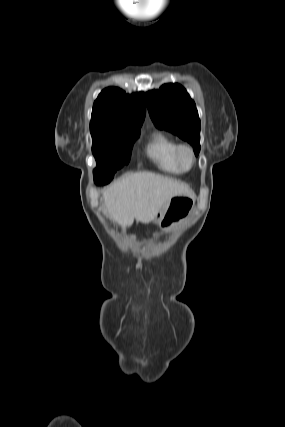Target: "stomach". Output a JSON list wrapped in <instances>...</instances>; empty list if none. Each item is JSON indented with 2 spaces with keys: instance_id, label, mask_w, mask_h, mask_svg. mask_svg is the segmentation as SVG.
I'll return each instance as SVG.
<instances>
[{
  "instance_id": "obj_1",
  "label": "stomach",
  "mask_w": 285,
  "mask_h": 427,
  "mask_svg": "<svg viewBox=\"0 0 285 427\" xmlns=\"http://www.w3.org/2000/svg\"><path fill=\"white\" fill-rule=\"evenodd\" d=\"M194 208V200L188 196H175L167 202L160 212L159 225L169 230L187 218Z\"/></svg>"
}]
</instances>
